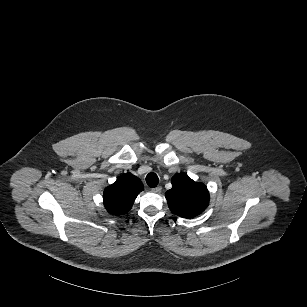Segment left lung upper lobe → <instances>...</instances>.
Wrapping results in <instances>:
<instances>
[{
	"mask_svg": "<svg viewBox=\"0 0 307 307\" xmlns=\"http://www.w3.org/2000/svg\"><path fill=\"white\" fill-rule=\"evenodd\" d=\"M172 188L165 194L168 206L175 215L192 218L201 214L209 204V192L203 183H197L181 172L173 176Z\"/></svg>",
	"mask_w": 307,
	"mask_h": 307,
	"instance_id": "left-lung-upper-lobe-1",
	"label": "left lung upper lobe"
}]
</instances>
